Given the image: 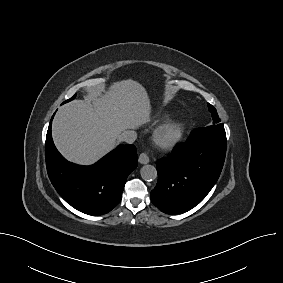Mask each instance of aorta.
<instances>
[{
    "instance_id": "aorta-1",
    "label": "aorta",
    "mask_w": 283,
    "mask_h": 283,
    "mask_svg": "<svg viewBox=\"0 0 283 283\" xmlns=\"http://www.w3.org/2000/svg\"><path fill=\"white\" fill-rule=\"evenodd\" d=\"M140 173H141V177L147 181H152L157 178V170L153 165H149V164L144 165L141 168Z\"/></svg>"
}]
</instances>
